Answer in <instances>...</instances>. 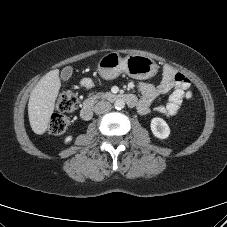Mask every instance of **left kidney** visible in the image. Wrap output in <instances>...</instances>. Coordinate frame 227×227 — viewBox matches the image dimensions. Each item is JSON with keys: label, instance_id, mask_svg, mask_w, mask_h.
Returning a JSON list of instances; mask_svg holds the SVG:
<instances>
[{"label": "left kidney", "instance_id": "left-kidney-1", "mask_svg": "<svg viewBox=\"0 0 227 227\" xmlns=\"http://www.w3.org/2000/svg\"><path fill=\"white\" fill-rule=\"evenodd\" d=\"M150 127L153 135L159 139H166L170 135V128L162 118H153Z\"/></svg>", "mask_w": 227, "mask_h": 227}]
</instances>
